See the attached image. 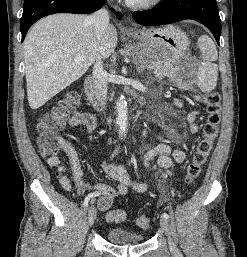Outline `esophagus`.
Returning a JSON list of instances; mask_svg holds the SVG:
<instances>
[{
    "instance_id": "obj_1",
    "label": "esophagus",
    "mask_w": 247,
    "mask_h": 257,
    "mask_svg": "<svg viewBox=\"0 0 247 257\" xmlns=\"http://www.w3.org/2000/svg\"><path fill=\"white\" fill-rule=\"evenodd\" d=\"M128 31H136V29L135 28H133V27H131V26H127V28H126Z\"/></svg>"
}]
</instances>
